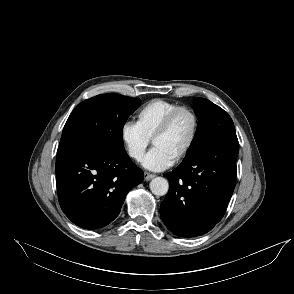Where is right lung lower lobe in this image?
Wrapping results in <instances>:
<instances>
[{
	"mask_svg": "<svg viewBox=\"0 0 294 294\" xmlns=\"http://www.w3.org/2000/svg\"><path fill=\"white\" fill-rule=\"evenodd\" d=\"M143 176L125 148L118 145L74 148L56 159L60 206L74 224L85 229L111 223L127 193Z\"/></svg>",
	"mask_w": 294,
	"mask_h": 294,
	"instance_id": "right-lung-lower-lobe-1",
	"label": "right lung lower lobe"
}]
</instances>
